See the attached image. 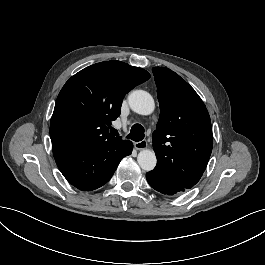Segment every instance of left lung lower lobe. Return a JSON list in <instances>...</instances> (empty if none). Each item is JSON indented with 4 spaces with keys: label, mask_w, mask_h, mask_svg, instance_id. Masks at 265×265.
Listing matches in <instances>:
<instances>
[{
    "label": "left lung lower lobe",
    "mask_w": 265,
    "mask_h": 265,
    "mask_svg": "<svg viewBox=\"0 0 265 265\" xmlns=\"http://www.w3.org/2000/svg\"><path fill=\"white\" fill-rule=\"evenodd\" d=\"M146 179L153 189L165 195H174L186 190L182 184L157 170L148 172Z\"/></svg>",
    "instance_id": "left-lung-lower-lobe-1"
}]
</instances>
